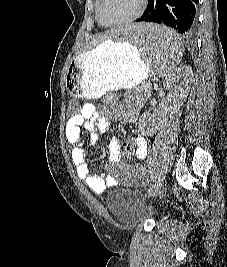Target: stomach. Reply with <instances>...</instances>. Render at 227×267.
Returning <instances> with one entry per match:
<instances>
[{
    "label": "stomach",
    "mask_w": 227,
    "mask_h": 267,
    "mask_svg": "<svg viewBox=\"0 0 227 267\" xmlns=\"http://www.w3.org/2000/svg\"><path fill=\"white\" fill-rule=\"evenodd\" d=\"M150 63L141 59L137 47L109 39L78 54L66 73L70 96L98 98L105 92L135 87L145 81Z\"/></svg>",
    "instance_id": "1"
}]
</instances>
